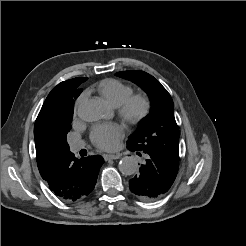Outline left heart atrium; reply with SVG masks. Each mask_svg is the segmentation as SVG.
Returning <instances> with one entry per match:
<instances>
[{"mask_svg":"<svg viewBox=\"0 0 246 246\" xmlns=\"http://www.w3.org/2000/svg\"><path fill=\"white\" fill-rule=\"evenodd\" d=\"M91 140L100 149L112 151L124 136V129L117 123L99 124L91 130Z\"/></svg>","mask_w":246,"mask_h":246,"instance_id":"obj_1","label":"left heart atrium"}]
</instances>
